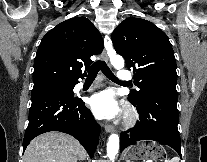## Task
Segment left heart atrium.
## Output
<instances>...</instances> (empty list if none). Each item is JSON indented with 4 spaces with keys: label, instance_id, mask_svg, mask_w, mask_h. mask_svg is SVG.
<instances>
[{
    "label": "left heart atrium",
    "instance_id": "left-heart-atrium-1",
    "mask_svg": "<svg viewBox=\"0 0 207 162\" xmlns=\"http://www.w3.org/2000/svg\"><path fill=\"white\" fill-rule=\"evenodd\" d=\"M89 105L100 119H114L123 113V105L112 90L94 94L90 98Z\"/></svg>",
    "mask_w": 207,
    "mask_h": 162
}]
</instances>
